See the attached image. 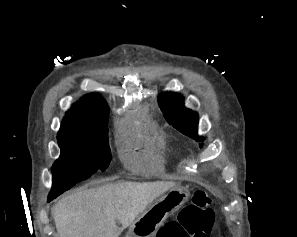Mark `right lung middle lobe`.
Returning a JSON list of instances; mask_svg holds the SVG:
<instances>
[{
  "label": "right lung middle lobe",
  "mask_w": 297,
  "mask_h": 237,
  "mask_svg": "<svg viewBox=\"0 0 297 237\" xmlns=\"http://www.w3.org/2000/svg\"><path fill=\"white\" fill-rule=\"evenodd\" d=\"M59 159L52 167L53 185L48 198L54 199L96 170H105L111 160L108 128H60Z\"/></svg>",
  "instance_id": "right-lung-middle-lobe-1"
}]
</instances>
